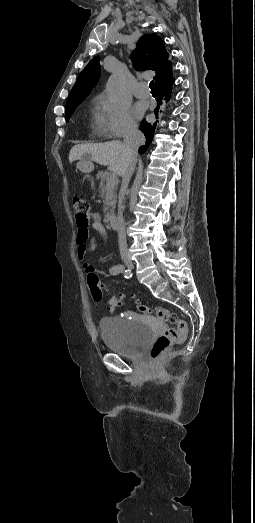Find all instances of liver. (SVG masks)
<instances>
[{
  "label": "liver",
  "instance_id": "liver-1",
  "mask_svg": "<svg viewBox=\"0 0 255 523\" xmlns=\"http://www.w3.org/2000/svg\"><path fill=\"white\" fill-rule=\"evenodd\" d=\"M122 150L124 144L121 142H104V144H77L73 146L69 154V162L81 160L85 154L91 156L92 162L101 164V166H108L110 172H114L117 176H121L124 170V160L122 158ZM80 168V166H78Z\"/></svg>",
  "mask_w": 255,
  "mask_h": 523
}]
</instances>
